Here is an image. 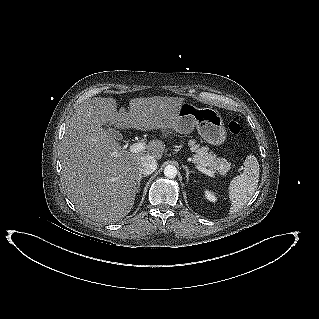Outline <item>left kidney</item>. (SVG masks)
<instances>
[{"label": "left kidney", "instance_id": "1", "mask_svg": "<svg viewBox=\"0 0 319 319\" xmlns=\"http://www.w3.org/2000/svg\"><path fill=\"white\" fill-rule=\"evenodd\" d=\"M205 197L211 202H216V200H217L215 195L208 190L205 191Z\"/></svg>", "mask_w": 319, "mask_h": 319}]
</instances>
